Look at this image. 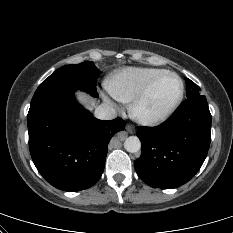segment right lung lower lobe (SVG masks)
Listing matches in <instances>:
<instances>
[{
  "label": "right lung lower lobe",
  "mask_w": 233,
  "mask_h": 233,
  "mask_svg": "<svg viewBox=\"0 0 233 233\" xmlns=\"http://www.w3.org/2000/svg\"><path fill=\"white\" fill-rule=\"evenodd\" d=\"M27 122L37 170L52 186L68 192L87 189L100 179L108 143L126 125L120 118L92 117L77 104L73 92L31 103Z\"/></svg>",
  "instance_id": "right-lung-lower-lobe-1"
}]
</instances>
